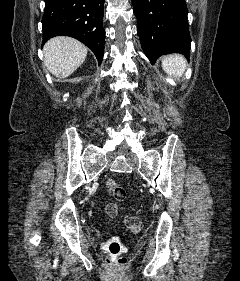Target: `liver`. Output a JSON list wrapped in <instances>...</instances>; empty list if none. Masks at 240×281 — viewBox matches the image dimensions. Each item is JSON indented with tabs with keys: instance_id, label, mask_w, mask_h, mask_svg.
I'll list each match as a JSON object with an SVG mask.
<instances>
[{
	"instance_id": "liver-1",
	"label": "liver",
	"mask_w": 240,
	"mask_h": 281,
	"mask_svg": "<svg viewBox=\"0 0 240 281\" xmlns=\"http://www.w3.org/2000/svg\"><path fill=\"white\" fill-rule=\"evenodd\" d=\"M44 64L56 77L66 78L82 65L87 47L71 37H54L43 48Z\"/></svg>"
}]
</instances>
